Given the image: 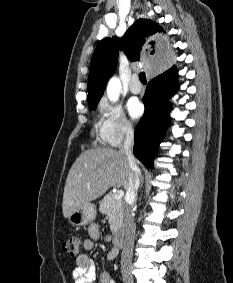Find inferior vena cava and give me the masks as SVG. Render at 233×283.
<instances>
[{
    "label": "inferior vena cava",
    "mask_w": 233,
    "mask_h": 283,
    "mask_svg": "<svg viewBox=\"0 0 233 283\" xmlns=\"http://www.w3.org/2000/svg\"><path fill=\"white\" fill-rule=\"evenodd\" d=\"M134 144V131L132 126L128 125L125 130V140L119 148V152L126 155L130 167L129 183L125 195V204L123 206L125 238L121 254V268L126 270L132 264L133 245L136 226L133 219V207L138 191L141 171L137 166L132 149Z\"/></svg>",
    "instance_id": "inferior-vena-cava-1"
}]
</instances>
